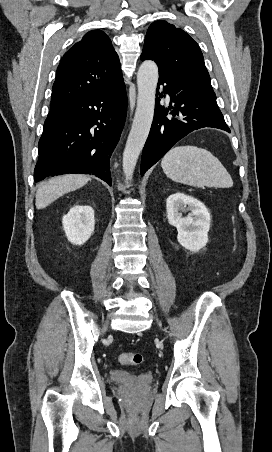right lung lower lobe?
Instances as JSON below:
<instances>
[{
  "mask_svg": "<svg viewBox=\"0 0 272 452\" xmlns=\"http://www.w3.org/2000/svg\"><path fill=\"white\" fill-rule=\"evenodd\" d=\"M123 79L86 95L75 104L50 111L39 140L34 180L67 173L92 174L112 185L110 157L126 118Z\"/></svg>",
  "mask_w": 272,
  "mask_h": 452,
  "instance_id": "1",
  "label": "right lung lower lobe"
}]
</instances>
